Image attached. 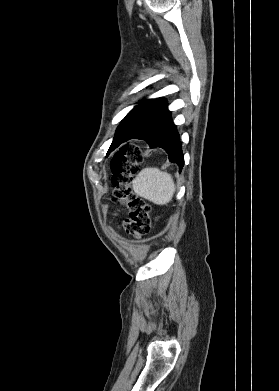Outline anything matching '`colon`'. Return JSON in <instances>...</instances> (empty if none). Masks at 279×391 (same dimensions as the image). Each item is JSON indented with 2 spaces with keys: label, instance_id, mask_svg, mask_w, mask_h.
<instances>
[{
  "label": "colon",
  "instance_id": "obj_1",
  "mask_svg": "<svg viewBox=\"0 0 279 391\" xmlns=\"http://www.w3.org/2000/svg\"><path fill=\"white\" fill-rule=\"evenodd\" d=\"M141 160L142 152L137 146L125 145L116 153L111 163L113 199L124 203L129 210V216L121 221V228L137 238L149 232L151 211L150 205L131 189L132 177Z\"/></svg>",
  "mask_w": 279,
  "mask_h": 391
}]
</instances>
